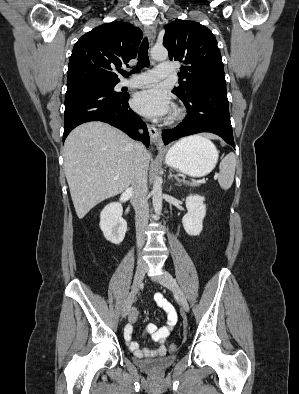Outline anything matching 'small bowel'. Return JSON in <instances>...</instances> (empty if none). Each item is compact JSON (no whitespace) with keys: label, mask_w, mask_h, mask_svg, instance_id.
Here are the masks:
<instances>
[{"label":"small bowel","mask_w":299,"mask_h":394,"mask_svg":"<svg viewBox=\"0 0 299 394\" xmlns=\"http://www.w3.org/2000/svg\"><path fill=\"white\" fill-rule=\"evenodd\" d=\"M153 301L164 310L166 314V325L157 326L153 323L147 324L144 327V334L149 335L151 339L157 344L154 349L142 348L136 341L133 340V325L138 319L136 309H132L129 314V324L124 329V337L130 350L139 358L157 357L165 353V344L170 333L177 323V312L171 302L160 292L153 296Z\"/></svg>","instance_id":"c3829d8e"}]
</instances>
